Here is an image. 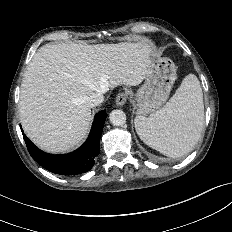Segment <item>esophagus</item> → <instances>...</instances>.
Listing matches in <instances>:
<instances>
[{"mask_svg":"<svg viewBox=\"0 0 232 232\" xmlns=\"http://www.w3.org/2000/svg\"><path fill=\"white\" fill-rule=\"evenodd\" d=\"M127 94L126 93H119L116 97V104L117 106H123L127 101Z\"/></svg>","mask_w":232,"mask_h":232,"instance_id":"obj_1","label":"esophagus"}]
</instances>
